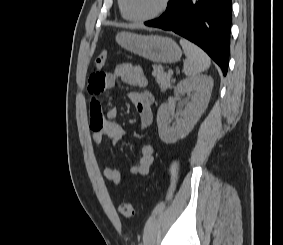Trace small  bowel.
Instances as JSON below:
<instances>
[{"label":"small bowel","mask_w":283,"mask_h":245,"mask_svg":"<svg viewBox=\"0 0 283 245\" xmlns=\"http://www.w3.org/2000/svg\"><path fill=\"white\" fill-rule=\"evenodd\" d=\"M117 80L126 84L144 88L148 84L144 70L129 63L118 64L112 73L95 72L88 79V91L91 95L97 96L103 91L115 86ZM129 99L134 103L139 115L141 128L150 129L154 124V114L152 105L154 96L151 91L142 89L132 91L128 94ZM117 109L111 106L103 113L99 102L93 98L90 105V128L92 130V141L101 146L104 138L118 142L125 134L124 129L116 121ZM154 149L150 144L144 145L141 149L139 163L128 169L130 175H147L154 161ZM105 179L119 184L124 178V174L112 165H107L102 171Z\"/></svg>","instance_id":"small-bowel-1"}]
</instances>
